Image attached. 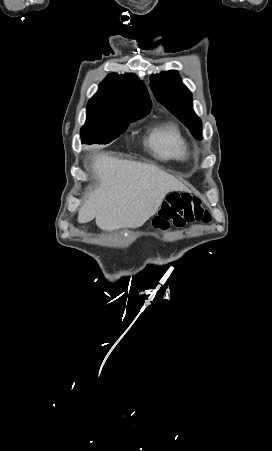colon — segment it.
I'll return each instance as SVG.
<instances>
[{
  "instance_id": "obj_1",
  "label": "colon",
  "mask_w": 272,
  "mask_h": 451,
  "mask_svg": "<svg viewBox=\"0 0 272 451\" xmlns=\"http://www.w3.org/2000/svg\"><path fill=\"white\" fill-rule=\"evenodd\" d=\"M212 220L211 213L203 207L202 200L188 193H173L163 204L160 213L154 219V225L158 228H167L170 221L175 226H183L189 223H209Z\"/></svg>"
}]
</instances>
